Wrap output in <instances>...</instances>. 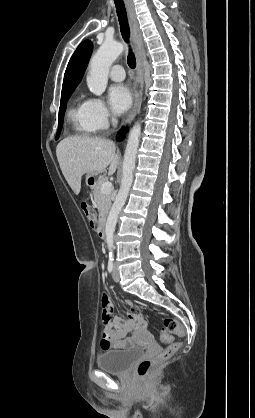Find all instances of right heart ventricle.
<instances>
[{
    "mask_svg": "<svg viewBox=\"0 0 255 418\" xmlns=\"http://www.w3.org/2000/svg\"><path fill=\"white\" fill-rule=\"evenodd\" d=\"M68 120L78 134L88 135L94 131L88 119L87 100H82L80 97L73 100L68 110Z\"/></svg>",
    "mask_w": 255,
    "mask_h": 418,
    "instance_id": "right-heart-ventricle-1",
    "label": "right heart ventricle"
}]
</instances>
